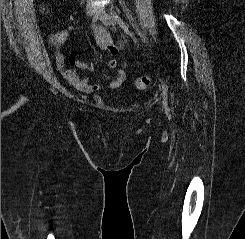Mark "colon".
Here are the masks:
<instances>
[{
  "label": "colon",
  "instance_id": "colon-1",
  "mask_svg": "<svg viewBox=\"0 0 245 239\" xmlns=\"http://www.w3.org/2000/svg\"><path fill=\"white\" fill-rule=\"evenodd\" d=\"M150 83L151 80L148 76H140L135 80V87L140 91H144L150 86Z\"/></svg>",
  "mask_w": 245,
  "mask_h": 239
}]
</instances>
